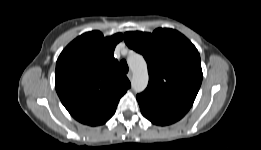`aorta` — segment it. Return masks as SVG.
<instances>
[{
    "label": "aorta",
    "mask_w": 261,
    "mask_h": 150,
    "mask_svg": "<svg viewBox=\"0 0 261 150\" xmlns=\"http://www.w3.org/2000/svg\"><path fill=\"white\" fill-rule=\"evenodd\" d=\"M127 63L133 73L131 79L132 89L136 93L144 91L148 85L149 80L145 59L142 55L133 53L128 57Z\"/></svg>",
    "instance_id": "obj_1"
}]
</instances>
